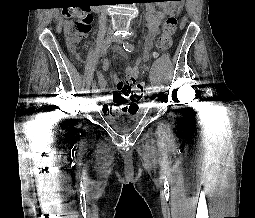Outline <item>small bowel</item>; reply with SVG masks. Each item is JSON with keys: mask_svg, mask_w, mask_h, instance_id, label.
<instances>
[{"mask_svg": "<svg viewBox=\"0 0 255 218\" xmlns=\"http://www.w3.org/2000/svg\"><path fill=\"white\" fill-rule=\"evenodd\" d=\"M174 5L168 3H160L159 8L157 9L154 5L148 4L146 7V19L148 26V33L146 36V43L148 45L147 52L140 58L136 60V62L132 65H129L127 68V78L126 80H122L116 74L113 75V80L116 83L117 88L115 90L109 91V96L104 98L105 105L104 112L105 114H114L119 113L121 107L125 106L126 110L130 109V112L134 111L133 107L128 105L129 103V93L125 91V86H130L138 81L140 78V71L142 67H145L149 57L152 55L153 57H157L158 53L150 51V45L156 35L159 33L160 25L165 16L171 15L174 12ZM114 52L122 57L125 55L115 49ZM109 61L106 59L103 61V69L108 70ZM97 76V85L100 92L108 91L107 81L104 78L103 74L100 71H96Z\"/></svg>", "mask_w": 255, "mask_h": 218, "instance_id": "1", "label": "small bowel"}]
</instances>
